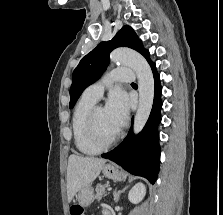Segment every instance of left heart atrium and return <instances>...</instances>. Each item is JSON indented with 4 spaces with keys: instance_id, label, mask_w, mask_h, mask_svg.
<instances>
[{
    "instance_id": "1",
    "label": "left heart atrium",
    "mask_w": 223,
    "mask_h": 215,
    "mask_svg": "<svg viewBox=\"0 0 223 215\" xmlns=\"http://www.w3.org/2000/svg\"><path fill=\"white\" fill-rule=\"evenodd\" d=\"M129 100L121 90H115L109 96L105 111L114 124L120 128L124 125L128 117Z\"/></svg>"
}]
</instances>
